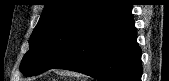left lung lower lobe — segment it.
<instances>
[{"label":"left lung lower lobe","instance_id":"0a47b994","mask_svg":"<svg viewBox=\"0 0 169 81\" xmlns=\"http://www.w3.org/2000/svg\"><path fill=\"white\" fill-rule=\"evenodd\" d=\"M132 4L117 0L79 34L51 69L76 71L101 81H140L141 49Z\"/></svg>","mask_w":169,"mask_h":81}]
</instances>
